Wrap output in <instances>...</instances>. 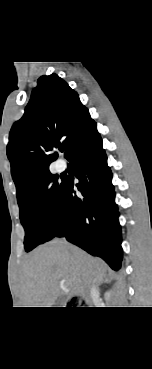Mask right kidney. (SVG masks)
<instances>
[{"mask_svg":"<svg viewBox=\"0 0 152 369\" xmlns=\"http://www.w3.org/2000/svg\"><path fill=\"white\" fill-rule=\"evenodd\" d=\"M110 296H111V292L108 291V292L105 293V299L106 300H108L110 298Z\"/></svg>","mask_w":152,"mask_h":369,"instance_id":"ca27d5eb","label":"right kidney"}]
</instances>
